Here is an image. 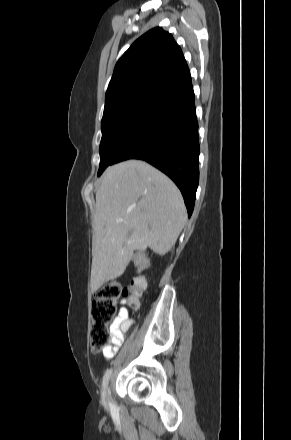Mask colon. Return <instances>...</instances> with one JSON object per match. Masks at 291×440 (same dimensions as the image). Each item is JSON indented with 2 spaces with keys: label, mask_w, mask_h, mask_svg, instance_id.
<instances>
[{
  "label": "colon",
  "mask_w": 291,
  "mask_h": 440,
  "mask_svg": "<svg viewBox=\"0 0 291 440\" xmlns=\"http://www.w3.org/2000/svg\"><path fill=\"white\" fill-rule=\"evenodd\" d=\"M145 289V280L138 276L132 278L126 288H122L117 282H110L98 289L90 317L89 341L93 352L104 351L110 344L109 325L116 314L117 299L124 297L129 307L137 310Z\"/></svg>",
  "instance_id": "5ec220e1"
}]
</instances>
